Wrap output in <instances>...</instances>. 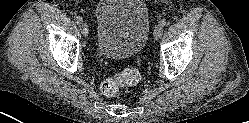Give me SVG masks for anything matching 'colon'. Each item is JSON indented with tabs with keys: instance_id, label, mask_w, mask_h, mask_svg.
Segmentation results:
<instances>
[{
	"instance_id": "colon-1",
	"label": "colon",
	"mask_w": 249,
	"mask_h": 123,
	"mask_svg": "<svg viewBox=\"0 0 249 123\" xmlns=\"http://www.w3.org/2000/svg\"><path fill=\"white\" fill-rule=\"evenodd\" d=\"M139 78V73L135 69L128 68L122 74L106 78L101 83V91L107 97H118L127 86L136 84Z\"/></svg>"
}]
</instances>
